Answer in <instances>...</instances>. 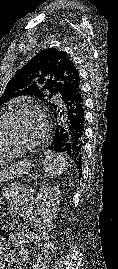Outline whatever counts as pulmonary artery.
<instances>
[{
	"label": "pulmonary artery",
	"mask_w": 118,
	"mask_h": 269,
	"mask_svg": "<svg viewBox=\"0 0 118 269\" xmlns=\"http://www.w3.org/2000/svg\"><path fill=\"white\" fill-rule=\"evenodd\" d=\"M54 101H55L57 104H60V103H61V99H60V97L57 96V95L54 97Z\"/></svg>",
	"instance_id": "1"
}]
</instances>
